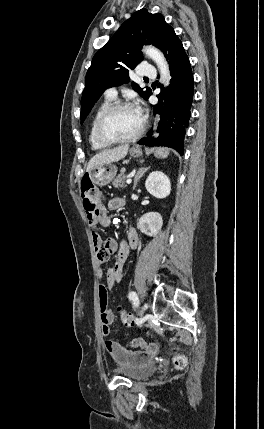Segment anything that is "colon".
Listing matches in <instances>:
<instances>
[{
	"mask_svg": "<svg viewBox=\"0 0 264 429\" xmlns=\"http://www.w3.org/2000/svg\"><path fill=\"white\" fill-rule=\"evenodd\" d=\"M81 196L84 209L88 215H95L104 203V195L102 191L89 180H84L81 183ZM117 312L123 325L127 327L135 326V318L130 312L122 309L121 307H118ZM128 345L130 347L141 348L143 347L144 342L141 339H133L128 343ZM174 363L176 367L184 368L187 364V358L184 355H177L174 359Z\"/></svg>",
	"mask_w": 264,
	"mask_h": 429,
	"instance_id": "1",
	"label": "colon"
}]
</instances>
